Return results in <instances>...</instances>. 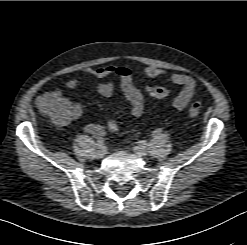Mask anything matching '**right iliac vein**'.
<instances>
[{
	"instance_id": "obj_1",
	"label": "right iliac vein",
	"mask_w": 247,
	"mask_h": 245,
	"mask_svg": "<svg viewBox=\"0 0 247 245\" xmlns=\"http://www.w3.org/2000/svg\"><path fill=\"white\" fill-rule=\"evenodd\" d=\"M105 154V151L103 149H99L96 151L95 155L97 158H102Z\"/></svg>"
}]
</instances>
